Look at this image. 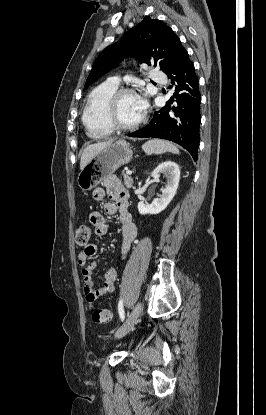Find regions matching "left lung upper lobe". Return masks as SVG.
Masks as SVG:
<instances>
[{
  "mask_svg": "<svg viewBox=\"0 0 266 415\" xmlns=\"http://www.w3.org/2000/svg\"><path fill=\"white\" fill-rule=\"evenodd\" d=\"M187 54L180 39L169 26L160 20L145 17L125 33L119 42L102 51L93 64L84 90L110 68L115 67L122 57L133 56L139 63H153L170 75Z\"/></svg>",
  "mask_w": 266,
  "mask_h": 415,
  "instance_id": "1",
  "label": "left lung upper lobe"
}]
</instances>
